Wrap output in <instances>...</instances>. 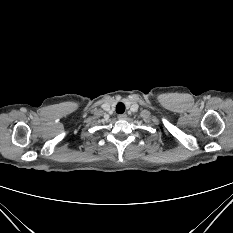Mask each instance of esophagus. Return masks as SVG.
<instances>
[{
    "mask_svg": "<svg viewBox=\"0 0 233 233\" xmlns=\"http://www.w3.org/2000/svg\"><path fill=\"white\" fill-rule=\"evenodd\" d=\"M118 118L120 119V120H124V119H126L127 118V115L124 113V114H119L118 115Z\"/></svg>",
    "mask_w": 233,
    "mask_h": 233,
    "instance_id": "obj_1",
    "label": "esophagus"
}]
</instances>
